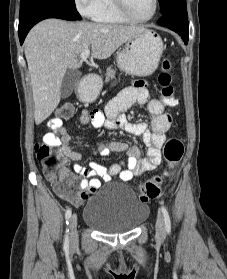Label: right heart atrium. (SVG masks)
I'll use <instances>...</instances> for the list:
<instances>
[{"label": "right heart atrium", "instance_id": "1", "mask_svg": "<svg viewBox=\"0 0 227 279\" xmlns=\"http://www.w3.org/2000/svg\"><path fill=\"white\" fill-rule=\"evenodd\" d=\"M77 8L86 16H93L102 0H74Z\"/></svg>", "mask_w": 227, "mask_h": 279}]
</instances>
